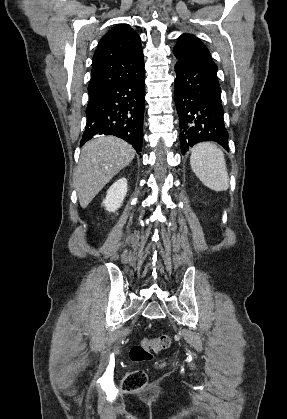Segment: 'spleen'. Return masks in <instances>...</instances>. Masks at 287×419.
<instances>
[{"mask_svg": "<svg viewBox=\"0 0 287 419\" xmlns=\"http://www.w3.org/2000/svg\"><path fill=\"white\" fill-rule=\"evenodd\" d=\"M190 165L206 187L217 192L229 188L225 157L215 144L203 142L195 145L190 156Z\"/></svg>", "mask_w": 287, "mask_h": 419, "instance_id": "obj_1", "label": "spleen"}]
</instances>
